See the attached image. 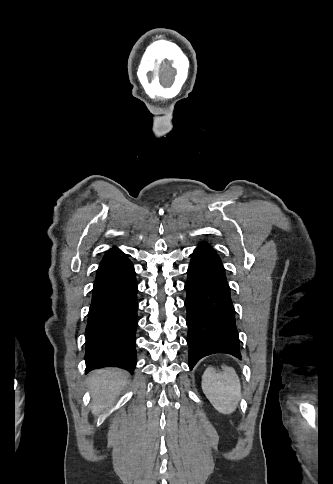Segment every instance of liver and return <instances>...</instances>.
Instances as JSON below:
<instances>
[{
  "label": "liver",
  "mask_w": 333,
  "mask_h": 484,
  "mask_svg": "<svg viewBox=\"0 0 333 484\" xmlns=\"http://www.w3.org/2000/svg\"><path fill=\"white\" fill-rule=\"evenodd\" d=\"M127 383V374L116 368H103L93 371L89 375V384L92 393V414L105 417L118 397L120 391Z\"/></svg>",
  "instance_id": "6515ba94"
}]
</instances>
